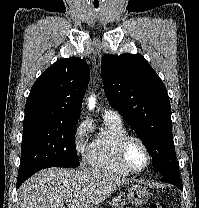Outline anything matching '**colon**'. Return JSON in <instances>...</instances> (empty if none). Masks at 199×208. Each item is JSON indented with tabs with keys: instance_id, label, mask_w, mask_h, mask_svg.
<instances>
[{
	"instance_id": "5ec220e1",
	"label": "colon",
	"mask_w": 199,
	"mask_h": 208,
	"mask_svg": "<svg viewBox=\"0 0 199 208\" xmlns=\"http://www.w3.org/2000/svg\"><path fill=\"white\" fill-rule=\"evenodd\" d=\"M147 208H167L163 202H150Z\"/></svg>"
}]
</instances>
